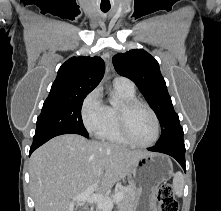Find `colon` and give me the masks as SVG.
Masks as SVG:
<instances>
[{"label":"colon","mask_w":221,"mask_h":211,"mask_svg":"<svg viewBox=\"0 0 221 211\" xmlns=\"http://www.w3.org/2000/svg\"><path fill=\"white\" fill-rule=\"evenodd\" d=\"M158 209L159 211H179V205L170 184H163L159 188Z\"/></svg>","instance_id":"5ec220e1"}]
</instances>
